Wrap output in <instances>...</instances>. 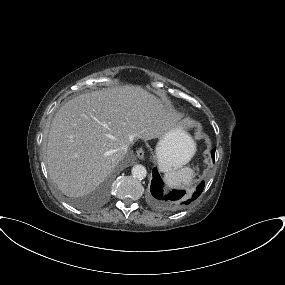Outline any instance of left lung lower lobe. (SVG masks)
<instances>
[{
	"label": "left lung lower lobe",
	"instance_id": "obj_1",
	"mask_svg": "<svg viewBox=\"0 0 285 285\" xmlns=\"http://www.w3.org/2000/svg\"><path fill=\"white\" fill-rule=\"evenodd\" d=\"M215 150L216 148L211 151V156L213 159L215 157ZM152 175L153 178L150 186L152 202L155 205L165 208L180 209L185 207L196 198H198V196L202 193L205 185V183L202 181L196 188V191L189 198L185 197V191L180 190H174L168 194H164L163 181L160 178L156 168L152 170Z\"/></svg>",
	"mask_w": 285,
	"mask_h": 285
}]
</instances>
